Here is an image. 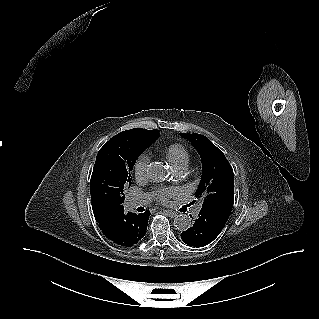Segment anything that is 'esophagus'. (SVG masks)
Segmentation results:
<instances>
[{
	"instance_id": "1",
	"label": "esophagus",
	"mask_w": 319,
	"mask_h": 319,
	"mask_svg": "<svg viewBox=\"0 0 319 319\" xmlns=\"http://www.w3.org/2000/svg\"><path fill=\"white\" fill-rule=\"evenodd\" d=\"M165 211V213L168 215V216H170V217H175V216H177V212H175V211H172V210H164Z\"/></svg>"
}]
</instances>
